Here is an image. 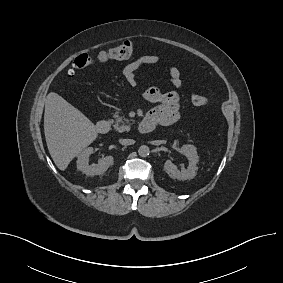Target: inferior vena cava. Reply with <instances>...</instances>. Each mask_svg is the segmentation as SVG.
<instances>
[{"label":"inferior vena cava","instance_id":"inferior-vena-cava-1","mask_svg":"<svg viewBox=\"0 0 283 283\" xmlns=\"http://www.w3.org/2000/svg\"><path fill=\"white\" fill-rule=\"evenodd\" d=\"M119 142L122 145H132L135 143L133 139H120Z\"/></svg>","mask_w":283,"mask_h":283}]
</instances>
